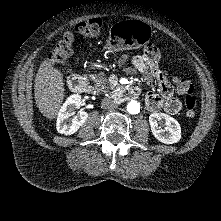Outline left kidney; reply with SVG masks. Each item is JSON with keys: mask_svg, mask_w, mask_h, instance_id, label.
<instances>
[{"mask_svg": "<svg viewBox=\"0 0 221 221\" xmlns=\"http://www.w3.org/2000/svg\"><path fill=\"white\" fill-rule=\"evenodd\" d=\"M158 121L165 123L162 129L158 126ZM149 123L154 137L162 143L174 144L181 139V127L177 120L165 113H153L149 116Z\"/></svg>", "mask_w": 221, "mask_h": 221, "instance_id": "obj_1", "label": "left kidney"}]
</instances>
